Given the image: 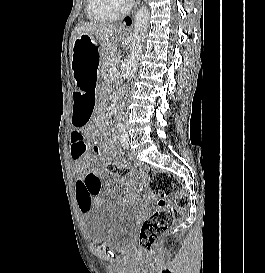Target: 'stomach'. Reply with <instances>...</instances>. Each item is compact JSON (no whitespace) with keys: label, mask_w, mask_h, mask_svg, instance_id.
<instances>
[{"label":"stomach","mask_w":265,"mask_h":273,"mask_svg":"<svg viewBox=\"0 0 265 273\" xmlns=\"http://www.w3.org/2000/svg\"><path fill=\"white\" fill-rule=\"evenodd\" d=\"M121 33L125 34L124 31ZM123 44H102L87 34H82L73 44L71 65L75 80L74 90H98L100 80H83L84 78H103V73H97L99 59L103 49H123Z\"/></svg>","instance_id":"stomach-1"}]
</instances>
